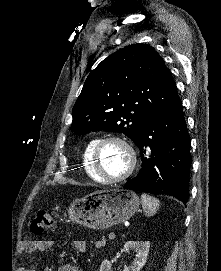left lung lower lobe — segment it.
Masks as SVG:
<instances>
[{"instance_id":"obj_1","label":"left lung lower lobe","mask_w":221,"mask_h":271,"mask_svg":"<svg viewBox=\"0 0 221 271\" xmlns=\"http://www.w3.org/2000/svg\"><path fill=\"white\" fill-rule=\"evenodd\" d=\"M142 167L123 188L168 194L187 203L191 165L190 136L178 94L160 113L141 127L135 141ZM146 147L151 155L145 157Z\"/></svg>"}]
</instances>
